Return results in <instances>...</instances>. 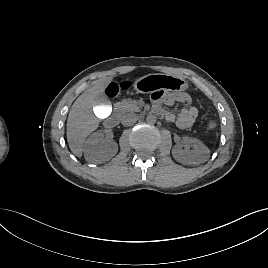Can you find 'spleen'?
<instances>
[{
	"instance_id": "3e777b00",
	"label": "spleen",
	"mask_w": 268,
	"mask_h": 268,
	"mask_svg": "<svg viewBox=\"0 0 268 268\" xmlns=\"http://www.w3.org/2000/svg\"><path fill=\"white\" fill-rule=\"evenodd\" d=\"M216 127V123L213 122L212 120L209 122L208 128L209 129H214Z\"/></svg>"
}]
</instances>
